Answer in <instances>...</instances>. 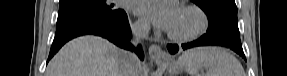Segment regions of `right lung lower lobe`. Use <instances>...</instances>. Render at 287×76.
I'll use <instances>...</instances> for the list:
<instances>
[{"mask_svg":"<svg viewBox=\"0 0 287 76\" xmlns=\"http://www.w3.org/2000/svg\"><path fill=\"white\" fill-rule=\"evenodd\" d=\"M85 34L99 35L108 39L121 48L128 50L134 49L133 45L129 42L131 39V30L128 24L127 15L124 13V15H122L120 18L112 22L94 25H83L56 35L50 49L48 61L67 41ZM135 52L138 54L141 60L144 59L141 46L135 49Z\"/></svg>","mask_w":287,"mask_h":76,"instance_id":"right-lung-lower-lobe-1","label":"right lung lower lobe"}]
</instances>
